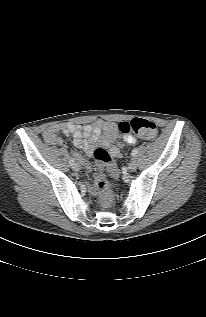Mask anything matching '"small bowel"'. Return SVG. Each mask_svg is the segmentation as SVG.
Wrapping results in <instances>:
<instances>
[{"mask_svg": "<svg viewBox=\"0 0 206 317\" xmlns=\"http://www.w3.org/2000/svg\"><path fill=\"white\" fill-rule=\"evenodd\" d=\"M114 125L108 121L97 120L94 123L86 125L64 124L53 125L43 132L44 140L51 144L62 146L65 141L58 134L62 132L67 136H72L76 147L84 150L88 155H93L97 147L107 148L113 157L121 156L123 143L135 144L136 138L133 135H124L121 140H116L114 135ZM73 155L89 171L91 165L81 154L74 152ZM89 192L96 195L98 192L96 186H91Z\"/></svg>", "mask_w": 206, "mask_h": 317, "instance_id": "1", "label": "small bowel"}]
</instances>
